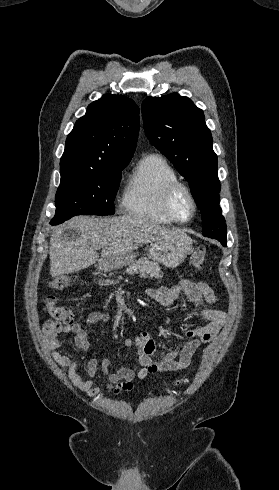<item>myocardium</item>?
Listing matches in <instances>:
<instances>
[{
  "instance_id": "myocardium-1",
  "label": "myocardium",
  "mask_w": 279,
  "mask_h": 490,
  "mask_svg": "<svg viewBox=\"0 0 279 490\" xmlns=\"http://www.w3.org/2000/svg\"><path fill=\"white\" fill-rule=\"evenodd\" d=\"M182 193H185L191 203V212L186 219H182L178 212V199ZM165 208L167 212L179 223L189 222L195 215L197 210V203L194 197L193 189L189 183L177 180L173 182L165 195Z\"/></svg>"
}]
</instances>
